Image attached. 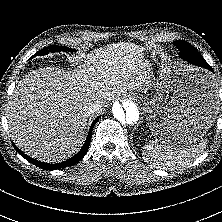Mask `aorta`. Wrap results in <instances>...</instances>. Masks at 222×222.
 <instances>
[{"label":"aorta","mask_w":222,"mask_h":222,"mask_svg":"<svg viewBox=\"0 0 222 222\" xmlns=\"http://www.w3.org/2000/svg\"><path fill=\"white\" fill-rule=\"evenodd\" d=\"M112 115L122 126L133 125L140 117L138 104L133 99H125L122 103L115 102L112 106Z\"/></svg>","instance_id":"1"}]
</instances>
